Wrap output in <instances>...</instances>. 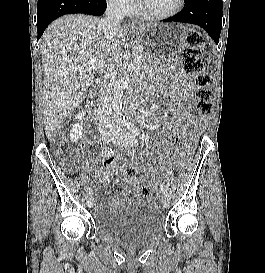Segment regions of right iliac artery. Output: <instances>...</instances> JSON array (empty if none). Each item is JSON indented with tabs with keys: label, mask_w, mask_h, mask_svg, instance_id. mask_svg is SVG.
Returning a JSON list of instances; mask_svg holds the SVG:
<instances>
[{
	"label": "right iliac artery",
	"mask_w": 265,
	"mask_h": 273,
	"mask_svg": "<svg viewBox=\"0 0 265 273\" xmlns=\"http://www.w3.org/2000/svg\"><path fill=\"white\" fill-rule=\"evenodd\" d=\"M118 131H120V128H119ZM112 154H113L112 148H105V149L102 151V157H103V158L109 157V156H111ZM87 194H88L89 196H92L93 192H92V189H91V188H89V189L87 190Z\"/></svg>",
	"instance_id": "obj_1"
}]
</instances>
